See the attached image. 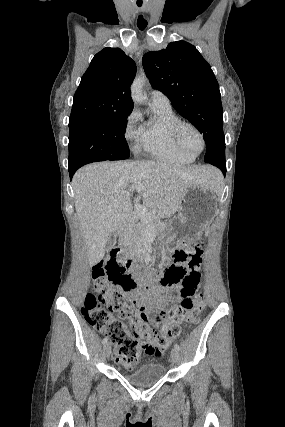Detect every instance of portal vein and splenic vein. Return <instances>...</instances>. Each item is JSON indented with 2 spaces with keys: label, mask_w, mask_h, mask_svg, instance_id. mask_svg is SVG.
Wrapping results in <instances>:
<instances>
[{
  "label": "portal vein and splenic vein",
  "mask_w": 285,
  "mask_h": 427,
  "mask_svg": "<svg viewBox=\"0 0 285 427\" xmlns=\"http://www.w3.org/2000/svg\"><path fill=\"white\" fill-rule=\"evenodd\" d=\"M132 189L137 190L138 192H141L142 186H141V184H135L132 187ZM134 208H135L136 214L145 218V219L150 218L151 213H153V212H149L146 207H144L140 204H135Z\"/></svg>",
  "instance_id": "18ae733b"
}]
</instances>
